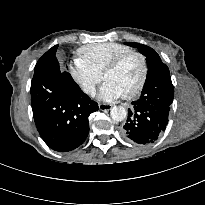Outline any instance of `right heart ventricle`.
Wrapping results in <instances>:
<instances>
[{
  "mask_svg": "<svg viewBox=\"0 0 205 205\" xmlns=\"http://www.w3.org/2000/svg\"><path fill=\"white\" fill-rule=\"evenodd\" d=\"M129 50H131L130 47L122 43L105 42L82 46L78 54L79 59L101 75L105 66L112 59Z\"/></svg>",
  "mask_w": 205,
  "mask_h": 205,
  "instance_id": "1",
  "label": "right heart ventricle"
}]
</instances>
